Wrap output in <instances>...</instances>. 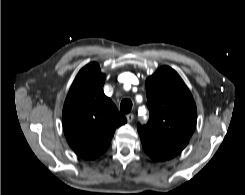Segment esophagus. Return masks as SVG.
<instances>
[{"instance_id": "esophagus-1", "label": "esophagus", "mask_w": 245, "mask_h": 195, "mask_svg": "<svg viewBox=\"0 0 245 195\" xmlns=\"http://www.w3.org/2000/svg\"><path fill=\"white\" fill-rule=\"evenodd\" d=\"M126 118H127V121L129 122V123H131L132 121H133V119H134V115L133 114H127L126 115Z\"/></svg>"}]
</instances>
